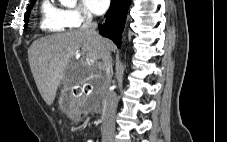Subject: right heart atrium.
<instances>
[{
    "label": "right heart atrium",
    "instance_id": "1",
    "mask_svg": "<svg viewBox=\"0 0 227 142\" xmlns=\"http://www.w3.org/2000/svg\"><path fill=\"white\" fill-rule=\"evenodd\" d=\"M65 15L69 26L73 28L81 27L92 20L91 14L80 6L66 9Z\"/></svg>",
    "mask_w": 227,
    "mask_h": 142
}]
</instances>
